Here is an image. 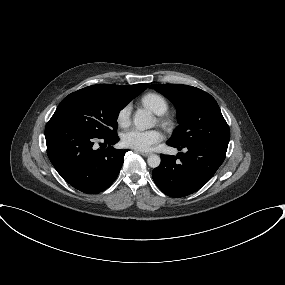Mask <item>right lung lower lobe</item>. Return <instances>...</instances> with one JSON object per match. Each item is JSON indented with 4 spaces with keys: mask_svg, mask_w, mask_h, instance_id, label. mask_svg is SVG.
I'll use <instances>...</instances> for the list:
<instances>
[{
    "mask_svg": "<svg viewBox=\"0 0 285 285\" xmlns=\"http://www.w3.org/2000/svg\"><path fill=\"white\" fill-rule=\"evenodd\" d=\"M48 157L60 176L74 188L96 194L108 188L116 179L127 150L114 149L117 135L97 138L79 126L62 119L51 118L45 128ZM101 140L106 150H94Z\"/></svg>",
    "mask_w": 285,
    "mask_h": 285,
    "instance_id": "98d812e1",
    "label": "right lung lower lobe"
}]
</instances>
